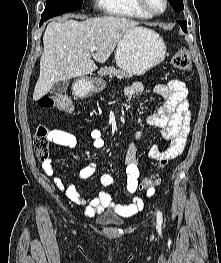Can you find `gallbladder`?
<instances>
[{
    "label": "gallbladder",
    "mask_w": 221,
    "mask_h": 263,
    "mask_svg": "<svg viewBox=\"0 0 221 263\" xmlns=\"http://www.w3.org/2000/svg\"><path fill=\"white\" fill-rule=\"evenodd\" d=\"M68 86H69L68 80L59 81L52 86V88L50 89V93L56 96L61 95L64 92H66Z\"/></svg>",
    "instance_id": "gallbladder-1"
}]
</instances>
